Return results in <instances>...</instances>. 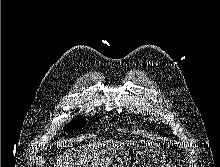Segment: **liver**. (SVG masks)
I'll use <instances>...</instances> for the list:
<instances>
[{
  "label": "liver",
  "mask_w": 220,
  "mask_h": 167,
  "mask_svg": "<svg viewBox=\"0 0 220 167\" xmlns=\"http://www.w3.org/2000/svg\"><path fill=\"white\" fill-rule=\"evenodd\" d=\"M123 144L125 142L111 139L67 149L54 167H109L116 150Z\"/></svg>",
  "instance_id": "6515ba94"
}]
</instances>
